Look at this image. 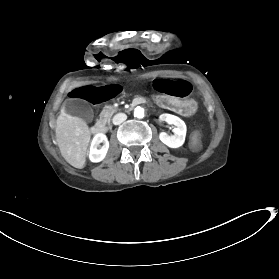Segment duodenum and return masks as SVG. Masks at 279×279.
<instances>
[{"mask_svg": "<svg viewBox=\"0 0 279 279\" xmlns=\"http://www.w3.org/2000/svg\"><path fill=\"white\" fill-rule=\"evenodd\" d=\"M138 103H143V104H150V99H146V98H141V97H136L133 99V104H138ZM102 124L100 122H97L95 124V126H93L91 128V132L93 134H97V135H103V134H107L109 132V128L107 126H104L103 128Z\"/></svg>", "mask_w": 279, "mask_h": 279, "instance_id": "410a0bca", "label": "duodenum"}]
</instances>
